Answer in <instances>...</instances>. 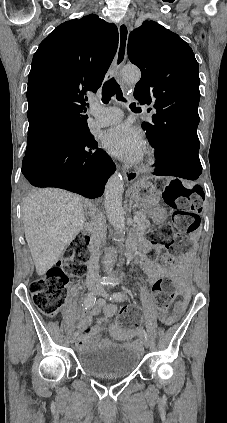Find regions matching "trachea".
Returning <instances> with one entry per match:
<instances>
[{
    "label": "trachea",
    "instance_id": "3493384b",
    "mask_svg": "<svg viewBox=\"0 0 227 423\" xmlns=\"http://www.w3.org/2000/svg\"><path fill=\"white\" fill-rule=\"evenodd\" d=\"M116 96V99L119 101H126V99L123 96L122 90L120 88V85L116 82L114 78H110L107 80L102 88V102L107 104L110 102L111 97ZM132 111L140 110L136 107L135 103H131L130 106Z\"/></svg>",
    "mask_w": 227,
    "mask_h": 423
}]
</instances>
